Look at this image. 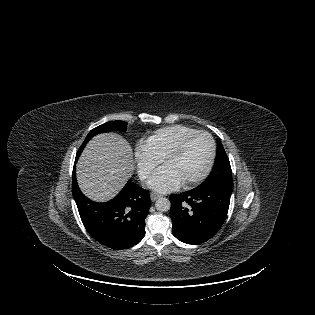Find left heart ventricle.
Listing matches in <instances>:
<instances>
[{"label": "left heart ventricle", "mask_w": 315, "mask_h": 315, "mask_svg": "<svg viewBox=\"0 0 315 315\" xmlns=\"http://www.w3.org/2000/svg\"><path fill=\"white\" fill-rule=\"evenodd\" d=\"M210 153V143L206 136L197 135L176 157L168 160L166 166L171 168L182 182L198 176L206 166Z\"/></svg>", "instance_id": "b2bd125f"}]
</instances>
